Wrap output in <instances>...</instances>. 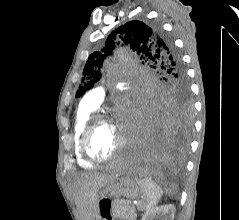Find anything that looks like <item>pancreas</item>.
Here are the masks:
<instances>
[{
    "label": "pancreas",
    "instance_id": "pancreas-1",
    "mask_svg": "<svg viewBox=\"0 0 239 220\" xmlns=\"http://www.w3.org/2000/svg\"><path fill=\"white\" fill-rule=\"evenodd\" d=\"M111 215L121 220H136L137 218L135 207L126 201H114L111 204Z\"/></svg>",
    "mask_w": 239,
    "mask_h": 220
}]
</instances>
